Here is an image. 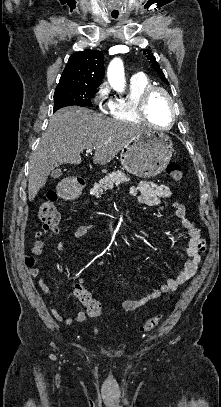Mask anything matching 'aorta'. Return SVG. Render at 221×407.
Here are the masks:
<instances>
[{
    "instance_id": "762f6f07",
    "label": "aorta",
    "mask_w": 221,
    "mask_h": 407,
    "mask_svg": "<svg viewBox=\"0 0 221 407\" xmlns=\"http://www.w3.org/2000/svg\"><path fill=\"white\" fill-rule=\"evenodd\" d=\"M107 77L111 87L122 92L125 88V75L123 63L119 58H115L111 61L107 70Z\"/></svg>"
}]
</instances>
